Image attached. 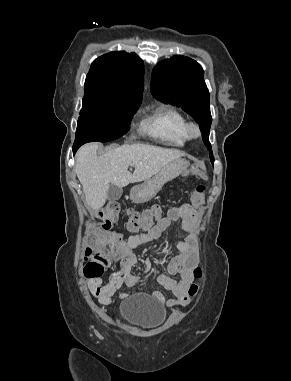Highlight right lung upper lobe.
Returning a JSON list of instances; mask_svg holds the SVG:
<instances>
[{"instance_id":"obj_1","label":"right lung upper lobe","mask_w":291,"mask_h":381,"mask_svg":"<svg viewBox=\"0 0 291 381\" xmlns=\"http://www.w3.org/2000/svg\"><path fill=\"white\" fill-rule=\"evenodd\" d=\"M143 74V62L135 53H107L92 63L85 81V93L141 103Z\"/></svg>"}]
</instances>
